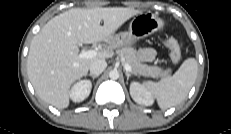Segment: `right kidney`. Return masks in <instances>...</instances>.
<instances>
[{
    "instance_id": "1",
    "label": "right kidney",
    "mask_w": 231,
    "mask_h": 134,
    "mask_svg": "<svg viewBox=\"0 0 231 134\" xmlns=\"http://www.w3.org/2000/svg\"><path fill=\"white\" fill-rule=\"evenodd\" d=\"M91 88L92 85L90 81L81 80L72 87L70 97L74 102H81L89 96Z\"/></svg>"
}]
</instances>
